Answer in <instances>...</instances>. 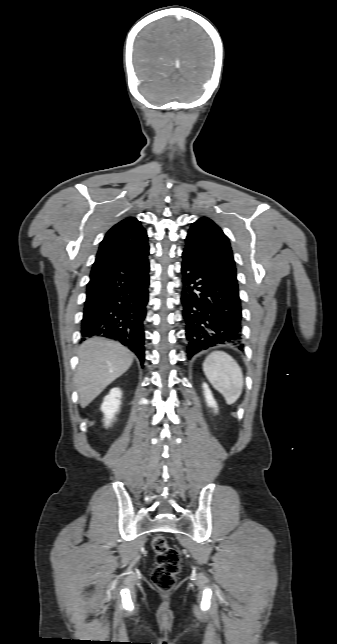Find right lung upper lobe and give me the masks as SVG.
Masks as SVG:
<instances>
[{"label": "right lung upper lobe", "mask_w": 337, "mask_h": 644, "mask_svg": "<svg viewBox=\"0 0 337 644\" xmlns=\"http://www.w3.org/2000/svg\"><path fill=\"white\" fill-rule=\"evenodd\" d=\"M146 230L134 217L114 225L100 244L90 278L111 268L139 262L149 254Z\"/></svg>", "instance_id": "obj_1"}]
</instances>
